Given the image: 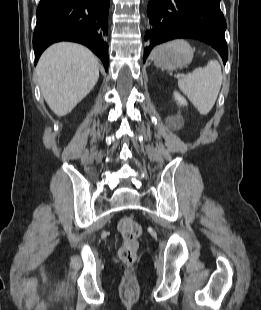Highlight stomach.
I'll return each instance as SVG.
<instances>
[{
  "mask_svg": "<svg viewBox=\"0 0 261 310\" xmlns=\"http://www.w3.org/2000/svg\"><path fill=\"white\" fill-rule=\"evenodd\" d=\"M194 50L183 40H176L158 47L153 54L154 64L162 69H176L188 65Z\"/></svg>",
  "mask_w": 261,
  "mask_h": 310,
  "instance_id": "obj_1",
  "label": "stomach"
}]
</instances>
